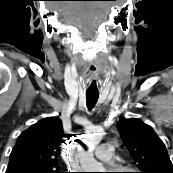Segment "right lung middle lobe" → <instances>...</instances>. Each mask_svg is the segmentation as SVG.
I'll use <instances>...</instances> for the list:
<instances>
[{"label": "right lung middle lobe", "mask_w": 173, "mask_h": 173, "mask_svg": "<svg viewBox=\"0 0 173 173\" xmlns=\"http://www.w3.org/2000/svg\"><path fill=\"white\" fill-rule=\"evenodd\" d=\"M24 173H60L58 170L24 171Z\"/></svg>", "instance_id": "dd1d6c3e"}]
</instances>
